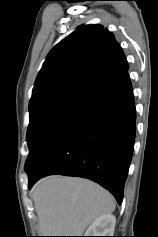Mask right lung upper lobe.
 <instances>
[{
  "mask_svg": "<svg viewBox=\"0 0 158 237\" xmlns=\"http://www.w3.org/2000/svg\"><path fill=\"white\" fill-rule=\"evenodd\" d=\"M128 70L112 33L100 25H83L48 54L37 76L29 106L69 96L85 101Z\"/></svg>",
  "mask_w": 158,
  "mask_h": 237,
  "instance_id": "obj_1",
  "label": "right lung upper lobe"
}]
</instances>
